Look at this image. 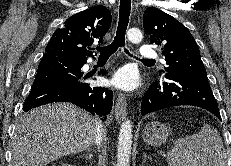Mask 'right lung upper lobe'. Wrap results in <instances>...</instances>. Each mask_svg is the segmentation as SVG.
<instances>
[{
  "label": "right lung upper lobe",
  "instance_id": "right-lung-upper-lobe-1",
  "mask_svg": "<svg viewBox=\"0 0 231 166\" xmlns=\"http://www.w3.org/2000/svg\"><path fill=\"white\" fill-rule=\"evenodd\" d=\"M112 22L111 12L98 5L68 18L52 35L44 55H53L74 60L94 57L90 46L95 39L103 43Z\"/></svg>",
  "mask_w": 231,
  "mask_h": 166
}]
</instances>
